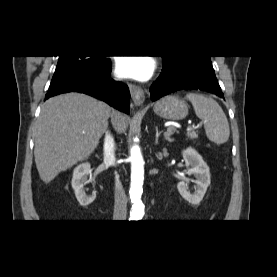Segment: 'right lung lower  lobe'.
Returning <instances> with one entry per match:
<instances>
[{
  "label": "right lung lower lobe",
  "mask_w": 277,
  "mask_h": 277,
  "mask_svg": "<svg viewBox=\"0 0 277 277\" xmlns=\"http://www.w3.org/2000/svg\"><path fill=\"white\" fill-rule=\"evenodd\" d=\"M110 75L111 61L107 62L104 67L91 77L80 82L65 84L57 88H49L45 99L61 93L76 91L100 98L114 108L129 113V89L125 84L112 80Z\"/></svg>",
  "instance_id": "obj_1"
}]
</instances>
